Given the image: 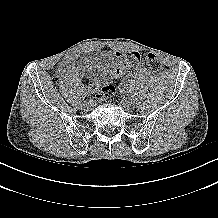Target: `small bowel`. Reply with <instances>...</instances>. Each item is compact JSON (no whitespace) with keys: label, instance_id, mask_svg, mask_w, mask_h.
<instances>
[{"label":"small bowel","instance_id":"small-bowel-1","mask_svg":"<svg viewBox=\"0 0 218 218\" xmlns=\"http://www.w3.org/2000/svg\"><path fill=\"white\" fill-rule=\"evenodd\" d=\"M128 54V53H127ZM122 52H114V61L117 66H120L125 58L126 55ZM57 73L61 76L65 75H74L78 76L80 74V68L78 64V56L76 54H70L65 56L58 64H57Z\"/></svg>","mask_w":218,"mask_h":218}]
</instances>
